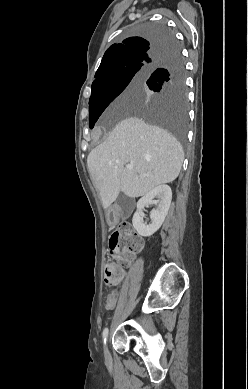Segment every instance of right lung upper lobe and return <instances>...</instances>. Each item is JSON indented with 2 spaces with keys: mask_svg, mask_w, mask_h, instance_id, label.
<instances>
[{
  "mask_svg": "<svg viewBox=\"0 0 248 389\" xmlns=\"http://www.w3.org/2000/svg\"><path fill=\"white\" fill-rule=\"evenodd\" d=\"M168 43H174V41ZM170 48L164 43H156L141 37L127 38L123 43L113 44L107 49L96 71L95 78L98 80L113 70L134 66L142 68L152 66L156 63L157 56L164 54Z\"/></svg>",
  "mask_w": 248,
  "mask_h": 389,
  "instance_id": "cb5924a9",
  "label": "right lung upper lobe"
}]
</instances>
